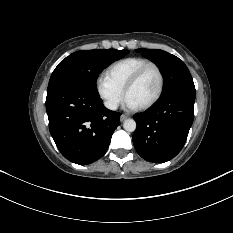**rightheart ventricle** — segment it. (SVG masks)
Instances as JSON below:
<instances>
[{
    "instance_id": "e07e8e85",
    "label": "right heart ventricle",
    "mask_w": 233,
    "mask_h": 233,
    "mask_svg": "<svg viewBox=\"0 0 233 233\" xmlns=\"http://www.w3.org/2000/svg\"><path fill=\"white\" fill-rule=\"evenodd\" d=\"M149 62L143 57H127L111 64L106 70V77L118 88L124 90L129 78L142 65Z\"/></svg>"
}]
</instances>
